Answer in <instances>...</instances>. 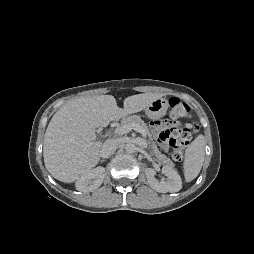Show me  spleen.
Masks as SVG:
<instances>
[{
  "label": "spleen",
  "instance_id": "3e777b00",
  "mask_svg": "<svg viewBox=\"0 0 254 254\" xmlns=\"http://www.w3.org/2000/svg\"><path fill=\"white\" fill-rule=\"evenodd\" d=\"M206 139L204 135L199 134L185 151L183 162V171L186 182L195 179L204 162Z\"/></svg>",
  "mask_w": 254,
  "mask_h": 254
}]
</instances>
